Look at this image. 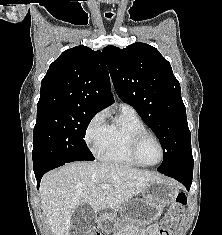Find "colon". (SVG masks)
<instances>
[{"instance_id": "colon-1", "label": "colon", "mask_w": 222, "mask_h": 235, "mask_svg": "<svg viewBox=\"0 0 222 235\" xmlns=\"http://www.w3.org/2000/svg\"><path fill=\"white\" fill-rule=\"evenodd\" d=\"M187 202V196L184 192L178 193L175 202L169 207L163 217L158 235H172V229L183 215L184 206ZM87 235H103L97 231H90Z\"/></svg>"}]
</instances>
